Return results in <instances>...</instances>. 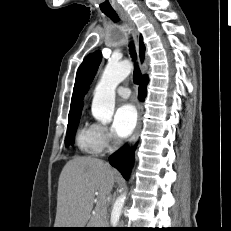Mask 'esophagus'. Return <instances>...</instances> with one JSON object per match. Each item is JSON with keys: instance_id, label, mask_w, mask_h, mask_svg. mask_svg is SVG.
I'll return each instance as SVG.
<instances>
[{"instance_id": "obj_1", "label": "esophagus", "mask_w": 231, "mask_h": 231, "mask_svg": "<svg viewBox=\"0 0 231 231\" xmlns=\"http://www.w3.org/2000/svg\"><path fill=\"white\" fill-rule=\"evenodd\" d=\"M121 15L128 21L131 29H132V33H133V38L135 41V46L136 49L138 50V45H139V32L137 30V28L135 27L134 23L132 22V20L128 17V15L121 13ZM142 114H143V107L141 104H139L138 106V119H137V125L136 128L134 130L133 135L131 136V138L129 139L128 142V146L131 147L133 146L140 135V131H141V127H142Z\"/></svg>"}]
</instances>
